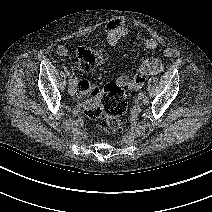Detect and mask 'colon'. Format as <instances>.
<instances>
[{
	"instance_id": "1",
	"label": "colon",
	"mask_w": 212,
	"mask_h": 212,
	"mask_svg": "<svg viewBox=\"0 0 212 212\" xmlns=\"http://www.w3.org/2000/svg\"><path fill=\"white\" fill-rule=\"evenodd\" d=\"M107 59L104 49L82 47L78 51V68L81 72H89L102 65ZM144 76L131 77L124 75L119 80L109 81L101 88L78 84L79 90L84 88L80 97L86 115L91 119H100V128L106 133L121 130L123 117L128 109L126 88H139L143 85Z\"/></svg>"
}]
</instances>
